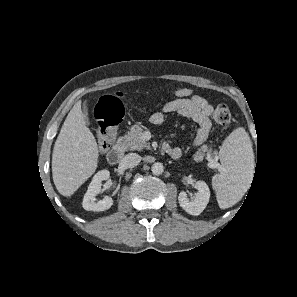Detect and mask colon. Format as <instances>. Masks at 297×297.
<instances>
[{
	"label": "colon",
	"instance_id": "obj_1",
	"mask_svg": "<svg viewBox=\"0 0 297 297\" xmlns=\"http://www.w3.org/2000/svg\"><path fill=\"white\" fill-rule=\"evenodd\" d=\"M177 98H189L193 95L190 88H179L174 92ZM121 94L106 95L100 98L95 106L94 116L100 134L99 149L105 153L111 147V137L123 117V106L119 99ZM231 111L228 105L219 104L213 111L212 120L218 125H227L231 121Z\"/></svg>",
	"mask_w": 297,
	"mask_h": 297
}]
</instances>
